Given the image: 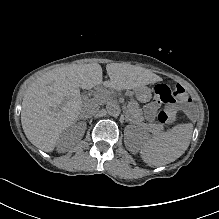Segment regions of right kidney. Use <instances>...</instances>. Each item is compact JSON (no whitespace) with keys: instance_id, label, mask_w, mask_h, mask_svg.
I'll return each instance as SVG.
<instances>
[{"instance_id":"ca27d5eb","label":"right kidney","mask_w":219,"mask_h":219,"mask_svg":"<svg viewBox=\"0 0 219 219\" xmlns=\"http://www.w3.org/2000/svg\"><path fill=\"white\" fill-rule=\"evenodd\" d=\"M84 131L85 129H82L80 131L78 130L74 131L73 127H69L66 130H64V132H61L56 140V144H55L56 152L63 153L68 151L69 143L66 142V139L69 138L68 141L70 143L73 142V138H75L76 140H80L82 139Z\"/></svg>"}]
</instances>
